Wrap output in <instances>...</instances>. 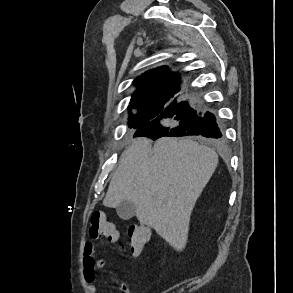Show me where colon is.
<instances>
[{
    "instance_id": "5ec220e1",
    "label": "colon",
    "mask_w": 293,
    "mask_h": 293,
    "mask_svg": "<svg viewBox=\"0 0 293 293\" xmlns=\"http://www.w3.org/2000/svg\"><path fill=\"white\" fill-rule=\"evenodd\" d=\"M89 224V234L93 239L106 238L109 241H115L118 237L116 227L102 211L92 212ZM127 234L133 255H137L152 236L151 230L140 223L131 224Z\"/></svg>"
}]
</instances>
